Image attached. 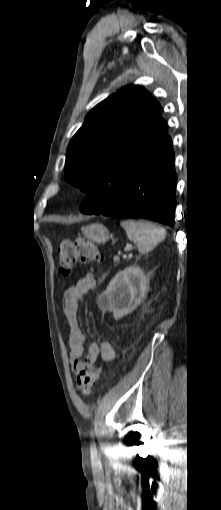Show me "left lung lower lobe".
I'll use <instances>...</instances> for the list:
<instances>
[{
	"label": "left lung lower lobe",
	"mask_w": 221,
	"mask_h": 510,
	"mask_svg": "<svg viewBox=\"0 0 221 510\" xmlns=\"http://www.w3.org/2000/svg\"><path fill=\"white\" fill-rule=\"evenodd\" d=\"M172 147L147 160L118 195L104 208H93L83 200L80 211L110 217L145 218L174 226L175 184Z\"/></svg>",
	"instance_id": "0a47b994"
}]
</instances>
